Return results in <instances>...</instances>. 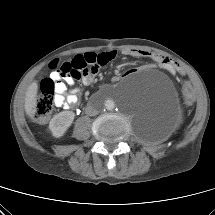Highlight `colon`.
I'll list each match as a JSON object with an SVG mask.
<instances>
[{
	"mask_svg": "<svg viewBox=\"0 0 215 215\" xmlns=\"http://www.w3.org/2000/svg\"><path fill=\"white\" fill-rule=\"evenodd\" d=\"M50 67L61 75L69 74L74 78H79L85 66L81 58L76 56L61 66H58L57 61H53ZM170 68H174L173 63ZM55 88L56 80L52 76L42 80L33 108V118L37 122L44 123L49 119L55 102ZM181 89L187 91L185 93V101L188 104H195L197 102L198 91L192 89V81L190 79H183L181 81Z\"/></svg>",
	"mask_w": 215,
	"mask_h": 215,
	"instance_id": "obj_1",
	"label": "colon"
}]
</instances>
